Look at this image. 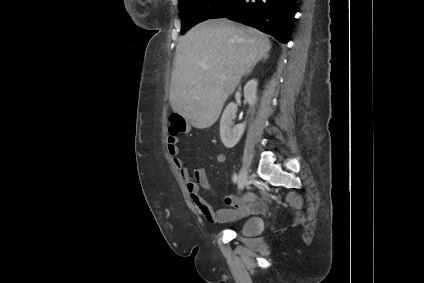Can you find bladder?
I'll use <instances>...</instances> for the list:
<instances>
[{
	"mask_svg": "<svg viewBox=\"0 0 424 283\" xmlns=\"http://www.w3.org/2000/svg\"><path fill=\"white\" fill-rule=\"evenodd\" d=\"M263 220L258 217L247 219L240 227V233L244 236H255L263 229Z\"/></svg>",
	"mask_w": 424,
	"mask_h": 283,
	"instance_id": "31cf9c89",
	"label": "bladder"
}]
</instances>
